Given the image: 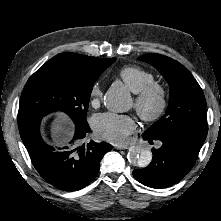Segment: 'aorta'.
Masks as SVG:
<instances>
[{"label":"aorta","mask_w":221,"mask_h":221,"mask_svg":"<svg viewBox=\"0 0 221 221\" xmlns=\"http://www.w3.org/2000/svg\"><path fill=\"white\" fill-rule=\"evenodd\" d=\"M104 103L110 111L125 112L130 107L131 96L124 86H112L106 92ZM127 159L133 166L144 168L152 161V152L142 146H132L128 150Z\"/></svg>","instance_id":"762f6f07"}]
</instances>
